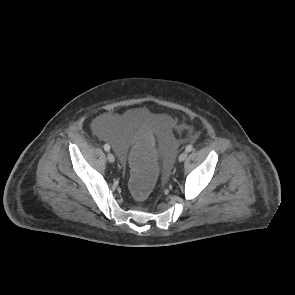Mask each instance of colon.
Instances as JSON below:
<instances>
[{
  "label": "colon",
  "mask_w": 295,
  "mask_h": 295,
  "mask_svg": "<svg viewBox=\"0 0 295 295\" xmlns=\"http://www.w3.org/2000/svg\"><path fill=\"white\" fill-rule=\"evenodd\" d=\"M152 140V131L141 128L137 131L135 143L131 148L134 166L129 181V196L137 204H144L150 200L157 182V159Z\"/></svg>",
  "instance_id": "5ec220e1"
}]
</instances>
